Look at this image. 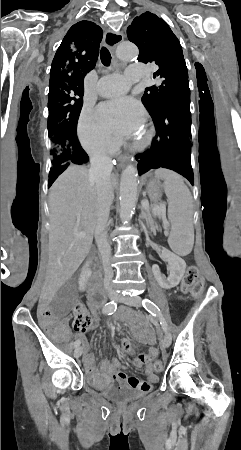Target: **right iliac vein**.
Masks as SVG:
<instances>
[{"label": "right iliac vein", "instance_id": "1", "mask_svg": "<svg viewBox=\"0 0 241 450\" xmlns=\"http://www.w3.org/2000/svg\"><path fill=\"white\" fill-rule=\"evenodd\" d=\"M116 297H117V294H116L115 292H110V293L108 294V298L111 299V300L116 299ZM82 351H83V348H82V347H77V348L75 349V351H74V357H75V358H79V357L81 356V354H82Z\"/></svg>", "mask_w": 241, "mask_h": 450}]
</instances>
